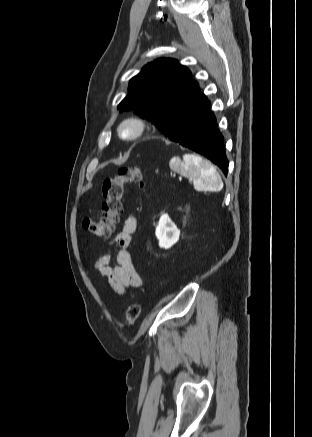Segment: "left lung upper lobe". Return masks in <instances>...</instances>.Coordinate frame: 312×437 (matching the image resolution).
<instances>
[{"label": "left lung upper lobe", "instance_id": "1", "mask_svg": "<svg viewBox=\"0 0 312 437\" xmlns=\"http://www.w3.org/2000/svg\"><path fill=\"white\" fill-rule=\"evenodd\" d=\"M207 102L191 72L174 59L148 63L129 83L119 111L134 110L170 140L177 137Z\"/></svg>", "mask_w": 312, "mask_h": 437}]
</instances>
